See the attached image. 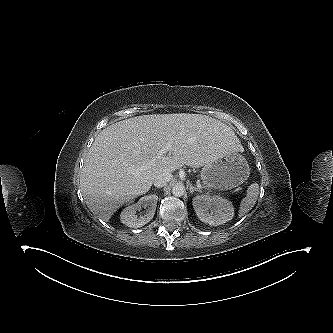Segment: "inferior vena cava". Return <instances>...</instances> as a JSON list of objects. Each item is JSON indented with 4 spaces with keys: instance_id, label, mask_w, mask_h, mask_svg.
I'll return each instance as SVG.
<instances>
[{
    "instance_id": "1",
    "label": "inferior vena cava",
    "mask_w": 333,
    "mask_h": 333,
    "mask_svg": "<svg viewBox=\"0 0 333 333\" xmlns=\"http://www.w3.org/2000/svg\"><path fill=\"white\" fill-rule=\"evenodd\" d=\"M172 178L173 175L169 172L158 173L153 180L154 186L157 188L164 187Z\"/></svg>"
}]
</instances>
